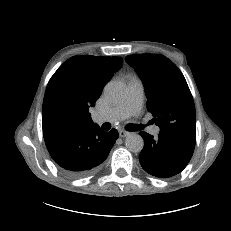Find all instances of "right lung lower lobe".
Wrapping results in <instances>:
<instances>
[{
    "instance_id": "1",
    "label": "right lung lower lobe",
    "mask_w": 231,
    "mask_h": 231,
    "mask_svg": "<svg viewBox=\"0 0 231 231\" xmlns=\"http://www.w3.org/2000/svg\"><path fill=\"white\" fill-rule=\"evenodd\" d=\"M118 136L115 129L104 132L95 124L44 135V139L51 157L61 171L70 177L80 178L100 168Z\"/></svg>"
}]
</instances>
